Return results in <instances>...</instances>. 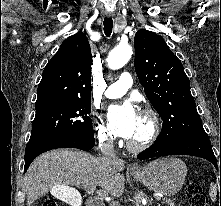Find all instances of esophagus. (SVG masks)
Here are the masks:
<instances>
[{"label":"esophagus","instance_id":"esophagus-1","mask_svg":"<svg viewBox=\"0 0 221 206\" xmlns=\"http://www.w3.org/2000/svg\"><path fill=\"white\" fill-rule=\"evenodd\" d=\"M106 16L110 17L111 14H106ZM130 169H132V170H137V169H139V166H138V165H131V166H130Z\"/></svg>","mask_w":221,"mask_h":206}]
</instances>
